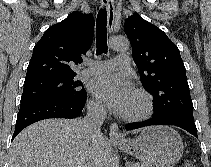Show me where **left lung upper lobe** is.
Returning a JSON list of instances; mask_svg holds the SVG:
<instances>
[{
  "instance_id": "5c2ea615",
  "label": "left lung upper lobe",
  "mask_w": 211,
  "mask_h": 167,
  "mask_svg": "<svg viewBox=\"0 0 211 167\" xmlns=\"http://www.w3.org/2000/svg\"><path fill=\"white\" fill-rule=\"evenodd\" d=\"M124 31L143 87L153 93L154 117L193 120V103L178 47L155 25L137 13L126 19Z\"/></svg>"
}]
</instances>
